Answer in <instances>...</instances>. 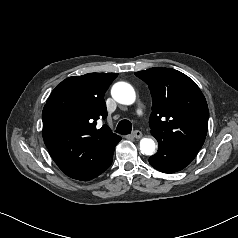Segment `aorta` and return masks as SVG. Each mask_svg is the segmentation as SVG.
Returning a JSON list of instances; mask_svg holds the SVG:
<instances>
[{
  "instance_id": "obj_1",
  "label": "aorta",
  "mask_w": 238,
  "mask_h": 238,
  "mask_svg": "<svg viewBox=\"0 0 238 238\" xmlns=\"http://www.w3.org/2000/svg\"><path fill=\"white\" fill-rule=\"evenodd\" d=\"M115 101L124 105H131L135 102L136 93L134 88L126 82H117L111 90ZM156 143L151 138H142L140 140V151L144 155H152L155 152Z\"/></svg>"
}]
</instances>
